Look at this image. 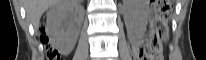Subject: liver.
I'll return each instance as SVG.
<instances>
[{
	"label": "liver",
	"instance_id": "1",
	"mask_svg": "<svg viewBox=\"0 0 206 60\" xmlns=\"http://www.w3.org/2000/svg\"><path fill=\"white\" fill-rule=\"evenodd\" d=\"M63 0H25L26 14L35 29L39 27L41 16L48 10L49 7L61 4Z\"/></svg>",
	"mask_w": 206,
	"mask_h": 60
}]
</instances>
